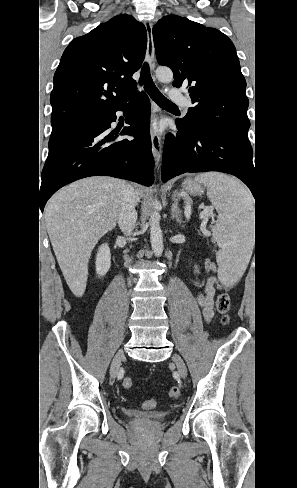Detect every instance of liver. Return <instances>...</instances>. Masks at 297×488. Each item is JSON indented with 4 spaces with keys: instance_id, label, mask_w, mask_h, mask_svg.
I'll use <instances>...</instances> for the list:
<instances>
[{
    "instance_id": "liver-1",
    "label": "liver",
    "mask_w": 297,
    "mask_h": 488,
    "mask_svg": "<svg viewBox=\"0 0 297 488\" xmlns=\"http://www.w3.org/2000/svg\"><path fill=\"white\" fill-rule=\"evenodd\" d=\"M124 180L90 177L56 192L45 208L49 238L72 293L81 297L86 289L88 262L100 238L116 226ZM134 189L137 199L140 187Z\"/></svg>"
}]
</instances>
